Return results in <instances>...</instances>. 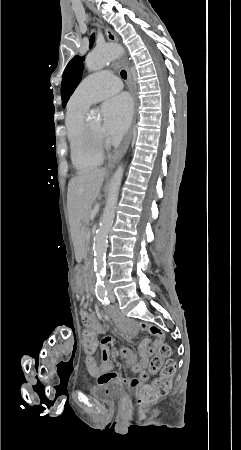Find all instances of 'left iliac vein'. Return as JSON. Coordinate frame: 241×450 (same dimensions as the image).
Masks as SVG:
<instances>
[{"instance_id":"left-iliac-vein-1","label":"left iliac vein","mask_w":241,"mask_h":450,"mask_svg":"<svg viewBox=\"0 0 241 450\" xmlns=\"http://www.w3.org/2000/svg\"><path fill=\"white\" fill-rule=\"evenodd\" d=\"M109 298L112 302L115 301V299H116L115 296L111 293L109 294Z\"/></svg>"}]
</instances>
